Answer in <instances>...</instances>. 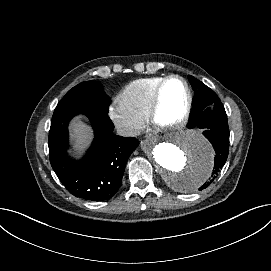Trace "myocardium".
<instances>
[{"label": "myocardium", "instance_id": "f54148a6", "mask_svg": "<svg viewBox=\"0 0 271 271\" xmlns=\"http://www.w3.org/2000/svg\"><path fill=\"white\" fill-rule=\"evenodd\" d=\"M173 79L180 80L181 82L184 83L187 89L188 100H187V104L184 111L177 118L171 121H164L161 118L162 95H163L165 86L168 84V82H170ZM193 107H194V94L188 80L179 74H170L166 76L159 83V85L156 87V89L153 92L152 107H151L149 117L151 119V122L160 129H165V130L179 129L182 126H184L190 119L192 111H193Z\"/></svg>", "mask_w": 271, "mask_h": 271}]
</instances>
